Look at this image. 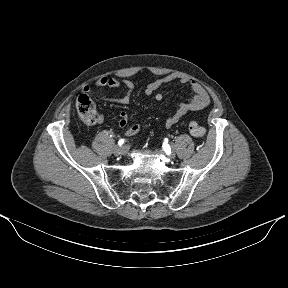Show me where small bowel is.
<instances>
[{"mask_svg":"<svg viewBox=\"0 0 288 288\" xmlns=\"http://www.w3.org/2000/svg\"><path fill=\"white\" fill-rule=\"evenodd\" d=\"M177 82L179 84L187 85L193 94V97L187 102L180 103L178 109L171 114L166 122V128H170L177 124L182 118H184L187 114L191 112H197L204 108H206L210 104V96L207 91L195 80L181 74H169L162 78H159L151 83H149L145 89L146 95L154 94V98L157 101H161L163 99V95L157 90L168 83ZM95 86L97 88H119L123 86L125 88V93L123 96L119 98H110L107 97L106 94L102 95V100L117 104V105H128L131 100V95L134 90V84L132 81L125 79L122 81L116 80L110 77H102L95 82ZM91 91L90 86H85L83 88L84 93H89ZM103 118H99V122H102ZM118 125L121 128H126L124 134L126 136H133L137 134L141 130V126L139 124L128 125V114L125 111H121L118 115Z\"/></svg>","mask_w":288,"mask_h":288,"instance_id":"c3829d8e","label":"small bowel"}]
</instances>
